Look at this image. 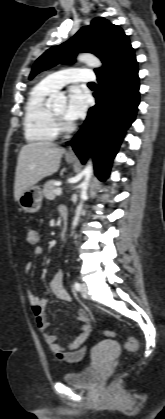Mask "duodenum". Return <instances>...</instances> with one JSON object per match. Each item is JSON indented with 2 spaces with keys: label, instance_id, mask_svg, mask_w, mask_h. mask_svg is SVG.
<instances>
[{
  "label": "duodenum",
  "instance_id": "1",
  "mask_svg": "<svg viewBox=\"0 0 165 419\" xmlns=\"http://www.w3.org/2000/svg\"><path fill=\"white\" fill-rule=\"evenodd\" d=\"M62 226L60 230V237L64 238L67 233V214L65 211L61 212Z\"/></svg>",
  "mask_w": 165,
  "mask_h": 419
}]
</instances>
